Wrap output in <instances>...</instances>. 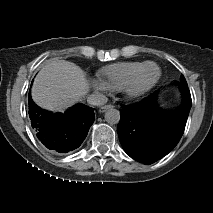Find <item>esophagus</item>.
Returning <instances> with one entry per match:
<instances>
[{
    "label": "esophagus",
    "mask_w": 213,
    "mask_h": 213,
    "mask_svg": "<svg viewBox=\"0 0 213 213\" xmlns=\"http://www.w3.org/2000/svg\"><path fill=\"white\" fill-rule=\"evenodd\" d=\"M111 107H113V105H105V106H102V107L99 108V112H100V113H103V112H105L107 109H109V108H111Z\"/></svg>",
    "instance_id": "esophagus-1"
}]
</instances>
